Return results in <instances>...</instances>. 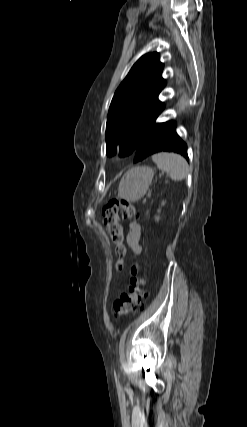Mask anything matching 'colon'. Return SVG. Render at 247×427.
<instances>
[{
    "instance_id": "5ec220e1",
    "label": "colon",
    "mask_w": 247,
    "mask_h": 427,
    "mask_svg": "<svg viewBox=\"0 0 247 427\" xmlns=\"http://www.w3.org/2000/svg\"><path fill=\"white\" fill-rule=\"evenodd\" d=\"M102 214L106 233L114 245L115 254L121 259L126 253L124 230L121 223L124 219L136 216V210L127 200H111L103 208ZM122 267L123 263L119 260L116 268L121 270ZM143 286L142 269L138 264H133L127 292L114 302L115 316L123 317L143 309L146 300Z\"/></svg>"
}]
</instances>
